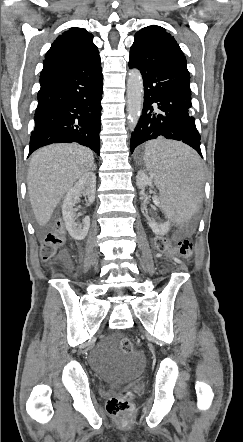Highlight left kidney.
<instances>
[{
  "label": "left kidney",
  "mask_w": 243,
  "mask_h": 442,
  "mask_svg": "<svg viewBox=\"0 0 243 442\" xmlns=\"http://www.w3.org/2000/svg\"><path fill=\"white\" fill-rule=\"evenodd\" d=\"M136 183L137 186L139 187V189H143L145 186H152V181L150 178H147L146 174L144 171H139L138 175L136 176ZM153 202L155 205L159 206L162 208V205H166L160 198L158 197H153ZM144 210H146V208H143L142 211L144 212ZM144 216L146 217L147 221H148V225L149 227L152 229V231L156 234V231H154V228H157V231H160V233L162 232H168L170 230V226H171V222L170 220L166 221L163 224H159L153 220H151L148 216V214H144Z\"/></svg>",
  "instance_id": "obj_1"
}]
</instances>
